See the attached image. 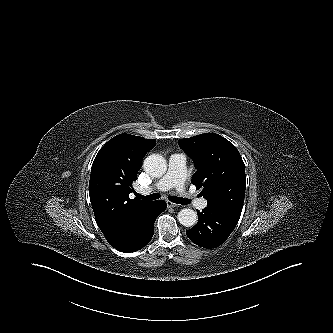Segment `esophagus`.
Returning a JSON list of instances; mask_svg holds the SVG:
<instances>
[{
  "instance_id": "34e87169",
  "label": "esophagus",
  "mask_w": 333,
  "mask_h": 333,
  "mask_svg": "<svg viewBox=\"0 0 333 333\" xmlns=\"http://www.w3.org/2000/svg\"><path fill=\"white\" fill-rule=\"evenodd\" d=\"M166 204H167V207H169V208L178 206L177 204H175L171 201H166Z\"/></svg>"
}]
</instances>
